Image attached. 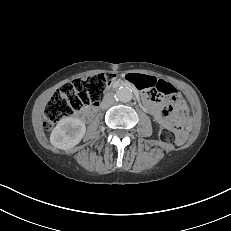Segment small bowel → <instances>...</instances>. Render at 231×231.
<instances>
[{
    "mask_svg": "<svg viewBox=\"0 0 231 231\" xmlns=\"http://www.w3.org/2000/svg\"><path fill=\"white\" fill-rule=\"evenodd\" d=\"M130 79L136 87L142 90V97L145 101H147V103H145V107L152 114L155 120L160 123H164V122L173 123L174 122L173 119L167 120L163 117L162 111L163 109L165 110L170 109L173 103L176 106H184L181 97L177 94H173L172 95L173 99L170 101H166L162 106L160 103L155 102L150 98L149 92L155 89L158 86L159 82L163 80H160L151 75H142V74H133L130 76Z\"/></svg>",
    "mask_w": 231,
    "mask_h": 231,
    "instance_id": "c3829d8e",
    "label": "small bowel"
}]
</instances>
